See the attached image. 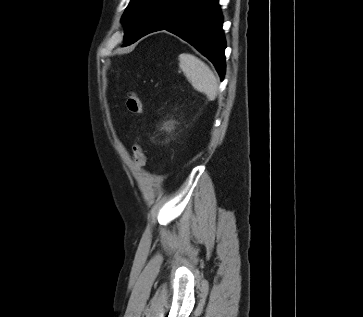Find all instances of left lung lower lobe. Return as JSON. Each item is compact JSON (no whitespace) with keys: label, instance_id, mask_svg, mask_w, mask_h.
I'll return each mask as SVG.
<instances>
[{"label":"left lung lower lobe","instance_id":"1","mask_svg":"<svg viewBox=\"0 0 363 317\" xmlns=\"http://www.w3.org/2000/svg\"><path fill=\"white\" fill-rule=\"evenodd\" d=\"M160 30L172 32L193 45L214 64L223 80L226 43L218 0H158L139 39Z\"/></svg>","mask_w":363,"mask_h":317}]
</instances>
